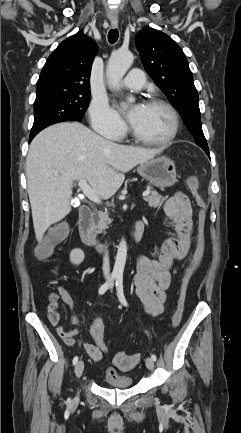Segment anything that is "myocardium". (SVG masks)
Listing matches in <instances>:
<instances>
[{
    "label": "myocardium",
    "mask_w": 241,
    "mask_h": 433,
    "mask_svg": "<svg viewBox=\"0 0 241 433\" xmlns=\"http://www.w3.org/2000/svg\"><path fill=\"white\" fill-rule=\"evenodd\" d=\"M146 106H161L164 107L169 111V113L172 116L173 119V128L171 133L164 139L161 140H151L148 138H145L141 136L138 132L135 131V129L131 126L130 127V133L133 136V138L143 144L151 145V146H164L169 143H171L177 136L180 128V118L177 110L167 101L163 99H150L145 103Z\"/></svg>",
    "instance_id": "f54148a6"
}]
</instances>
